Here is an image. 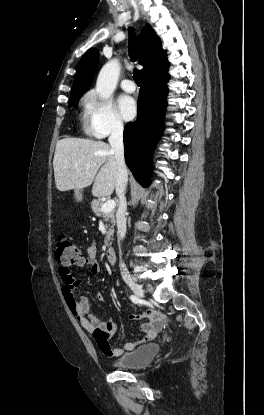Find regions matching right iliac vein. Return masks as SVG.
Returning <instances> with one entry per match:
<instances>
[{
  "instance_id": "obj_1",
  "label": "right iliac vein",
  "mask_w": 264,
  "mask_h": 415,
  "mask_svg": "<svg viewBox=\"0 0 264 415\" xmlns=\"http://www.w3.org/2000/svg\"><path fill=\"white\" fill-rule=\"evenodd\" d=\"M128 285L137 297L144 298V290L139 284L135 283L134 281H129Z\"/></svg>"
}]
</instances>
